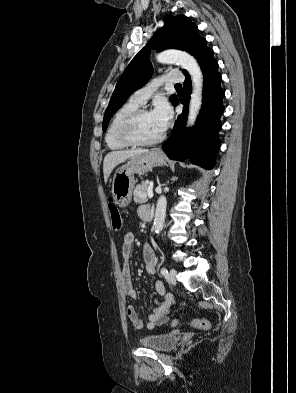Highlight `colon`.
I'll list each match as a JSON object with an SVG mask.
<instances>
[{
	"mask_svg": "<svg viewBox=\"0 0 296 393\" xmlns=\"http://www.w3.org/2000/svg\"><path fill=\"white\" fill-rule=\"evenodd\" d=\"M109 212H110V217H111V223L112 227L114 230H121L123 226V221L122 217L120 215V212L116 206V204L113 201H110L109 203ZM178 323V321H173L172 325L175 326ZM191 324L199 329H209L210 324L207 320L205 319H197L193 320Z\"/></svg>",
	"mask_w": 296,
	"mask_h": 393,
	"instance_id": "1",
	"label": "colon"
}]
</instances>
